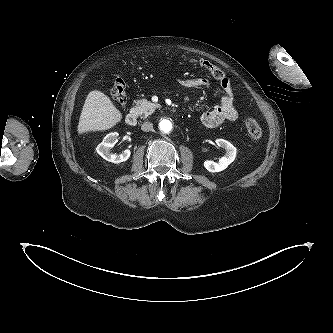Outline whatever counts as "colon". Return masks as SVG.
<instances>
[{"label": "colon", "instance_id": "colon-1", "mask_svg": "<svg viewBox=\"0 0 333 333\" xmlns=\"http://www.w3.org/2000/svg\"><path fill=\"white\" fill-rule=\"evenodd\" d=\"M192 62L199 64L203 68L207 70V72L215 79L217 80H223L225 79V73L214 64L204 61V60H193ZM111 95L113 100L123 106L126 103V84L121 78L115 79L112 89H111ZM245 128L247 130L248 135L250 138L254 141H258L263 136V130L261 126L258 124V122L251 117H248L245 119Z\"/></svg>", "mask_w": 333, "mask_h": 333}]
</instances>
